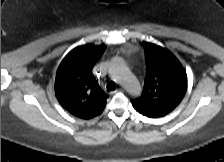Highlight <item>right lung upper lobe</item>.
<instances>
[{"instance_id":"right-lung-upper-lobe-1","label":"right lung upper lobe","mask_w":224,"mask_h":162,"mask_svg":"<svg viewBox=\"0 0 224 162\" xmlns=\"http://www.w3.org/2000/svg\"><path fill=\"white\" fill-rule=\"evenodd\" d=\"M105 51V45H83L71 50L62 60L55 79V94L71 114L90 119L102 113L107 94L100 88L92 68Z\"/></svg>"}]
</instances>
